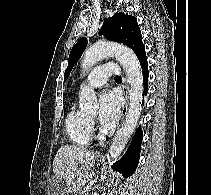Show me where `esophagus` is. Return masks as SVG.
<instances>
[{
  "label": "esophagus",
  "instance_id": "obj_1",
  "mask_svg": "<svg viewBox=\"0 0 211 195\" xmlns=\"http://www.w3.org/2000/svg\"><path fill=\"white\" fill-rule=\"evenodd\" d=\"M122 88H123V93H124V97H125V104H124V106L122 108L121 123L124 121V119L126 117V114H127V111H128V106H129L128 84H127V81H126V78L125 77L123 78ZM106 146L107 145H104L102 147V149L97 152V154H96L97 157H100V158L104 157L103 153H104V150H105Z\"/></svg>",
  "mask_w": 211,
  "mask_h": 195
}]
</instances>
